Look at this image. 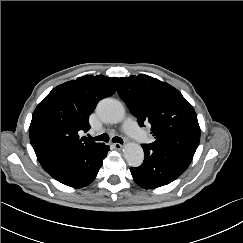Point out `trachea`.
<instances>
[{
    "instance_id": "obj_1",
    "label": "trachea",
    "mask_w": 243,
    "mask_h": 243,
    "mask_svg": "<svg viewBox=\"0 0 243 243\" xmlns=\"http://www.w3.org/2000/svg\"><path fill=\"white\" fill-rule=\"evenodd\" d=\"M93 139L96 140V141L108 142L109 141V135L107 133H104V134H102L100 136L94 137ZM112 142L123 144L122 138L117 137V136L113 137Z\"/></svg>"
}]
</instances>
